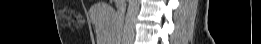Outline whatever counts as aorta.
<instances>
[{
    "label": "aorta",
    "mask_w": 261,
    "mask_h": 44,
    "mask_svg": "<svg viewBox=\"0 0 261 44\" xmlns=\"http://www.w3.org/2000/svg\"><path fill=\"white\" fill-rule=\"evenodd\" d=\"M139 8L140 0H128V9L122 37V42L124 44H130L134 39L135 24Z\"/></svg>",
    "instance_id": "aorta-1"
}]
</instances>
